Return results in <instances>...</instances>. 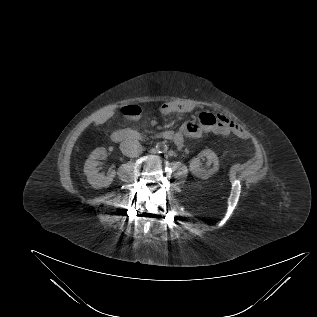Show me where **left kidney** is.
Listing matches in <instances>:
<instances>
[{"label": "left kidney", "instance_id": "obj_1", "mask_svg": "<svg viewBox=\"0 0 317 317\" xmlns=\"http://www.w3.org/2000/svg\"><path fill=\"white\" fill-rule=\"evenodd\" d=\"M205 157L207 161V165H213L212 168H202L201 167V159ZM189 169L192 174L201 178V179H208L213 174H215L219 169V159L217 155L210 149L202 150L197 158H193L190 160Z\"/></svg>", "mask_w": 317, "mask_h": 317}]
</instances>
